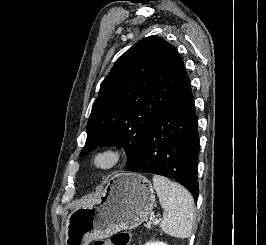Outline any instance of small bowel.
I'll use <instances>...</instances> for the list:
<instances>
[{
  "label": "small bowel",
  "instance_id": "small-bowel-1",
  "mask_svg": "<svg viewBox=\"0 0 266 245\" xmlns=\"http://www.w3.org/2000/svg\"><path fill=\"white\" fill-rule=\"evenodd\" d=\"M101 242H109V241H101Z\"/></svg>",
  "mask_w": 266,
  "mask_h": 245
}]
</instances>
